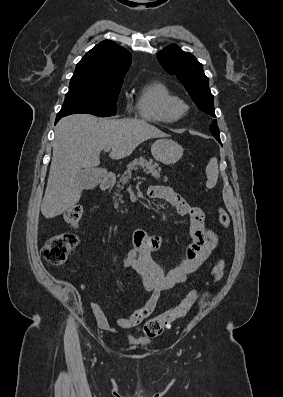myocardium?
Masks as SVG:
<instances>
[{
    "mask_svg": "<svg viewBox=\"0 0 283 397\" xmlns=\"http://www.w3.org/2000/svg\"><path fill=\"white\" fill-rule=\"evenodd\" d=\"M172 112L177 118L186 115L189 111V105L182 99L177 98L171 106Z\"/></svg>",
    "mask_w": 283,
    "mask_h": 397,
    "instance_id": "f54148a6",
    "label": "myocardium"
}]
</instances>
